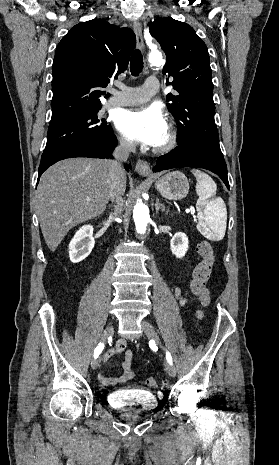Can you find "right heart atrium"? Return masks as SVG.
I'll use <instances>...</instances> for the list:
<instances>
[{"label":"right heart atrium","mask_w":279,"mask_h":465,"mask_svg":"<svg viewBox=\"0 0 279 465\" xmlns=\"http://www.w3.org/2000/svg\"><path fill=\"white\" fill-rule=\"evenodd\" d=\"M119 142L123 148L129 149L132 147V142L123 136L119 138Z\"/></svg>","instance_id":"right-heart-atrium-1"}]
</instances>
